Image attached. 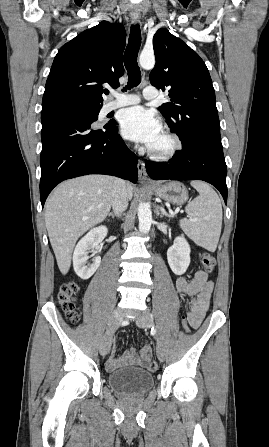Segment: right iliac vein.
<instances>
[{
	"mask_svg": "<svg viewBox=\"0 0 269 447\" xmlns=\"http://www.w3.org/2000/svg\"><path fill=\"white\" fill-rule=\"evenodd\" d=\"M121 321L122 317L120 315V312L118 310L114 311L110 316L107 332L100 342V354L103 357H105L109 353L113 332Z\"/></svg>",
	"mask_w": 269,
	"mask_h": 447,
	"instance_id": "1",
	"label": "right iliac vein"
}]
</instances>
